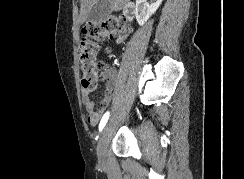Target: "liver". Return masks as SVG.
<instances>
[{
  "label": "liver",
  "instance_id": "1",
  "mask_svg": "<svg viewBox=\"0 0 244 179\" xmlns=\"http://www.w3.org/2000/svg\"><path fill=\"white\" fill-rule=\"evenodd\" d=\"M80 2H81V8H80L79 20L82 24V22H86L88 18V14L92 6L96 4L97 0H80ZM108 2H110L111 4L112 12H120L123 6H125L127 2H130V0H108Z\"/></svg>",
  "mask_w": 244,
  "mask_h": 179
}]
</instances>
